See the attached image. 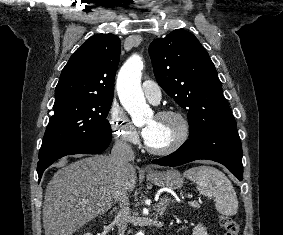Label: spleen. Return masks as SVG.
I'll return each instance as SVG.
<instances>
[{"instance_id": "obj_1", "label": "spleen", "mask_w": 283, "mask_h": 235, "mask_svg": "<svg viewBox=\"0 0 283 235\" xmlns=\"http://www.w3.org/2000/svg\"><path fill=\"white\" fill-rule=\"evenodd\" d=\"M184 177L197 184L200 194L215 199L220 214L233 216L238 210V199L230 180L212 166H198L184 172Z\"/></svg>"}]
</instances>
